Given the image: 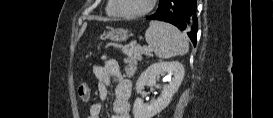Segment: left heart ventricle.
<instances>
[{
	"label": "left heart ventricle",
	"instance_id": "1",
	"mask_svg": "<svg viewBox=\"0 0 273 118\" xmlns=\"http://www.w3.org/2000/svg\"><path fill=\"white\" fill-rule=\"evenodd\" d=\"M120 7L126 13H137L144 10L149 0H120Z\"/></svg>",
	"mask_w": 273,
	"mask_h": 118
}]
</instances>
